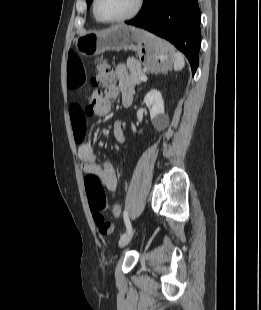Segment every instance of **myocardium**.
Segmentation results:
<instances>
[{
	"label": "myocardium",
	"instance_id": "f54148a6",
	"mask_svg": "<svg viewBox=\"0 0 261 310\" xmlns=\"http://www.w3.org/2000/svg\"><path fill=\"white\" fill-rule=\"evenodd\" d=\"M97 4H98V0H93L92 9H93V14L95 18L99 22H102L105 24H116V23H123V22L129 21L133 19L134 17H136L142 8L143 0H136L134 8L127 15L119 17V18H114V19H107V18L102 17L98 13Z\"/></svg>",
	"mask_w": 261,
	"mask_h": 310
}]
</instances>
